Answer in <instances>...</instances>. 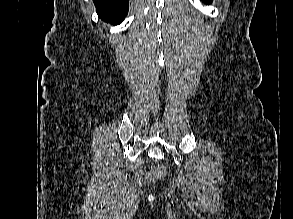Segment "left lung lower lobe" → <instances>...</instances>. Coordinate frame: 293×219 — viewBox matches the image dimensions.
Instances as JSON below:
<instances>
[{"instance_id":"obj_1","label":"left lung lower lobe","mask_w":293,"mask_h":219,"mask_svg":"<svg viewBox=\"0 0 293 219\" xmlns=\"http://www.w3.org/2000/svg\"><path fill=\"white\" fill-rule=\"evenodd\" d=\"M204 2H206V3H211L212 2V0H203Z\"/></svg>"}]
</instances>
